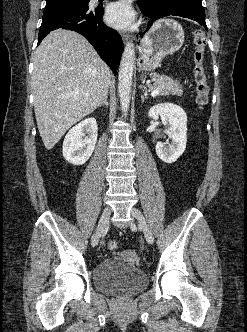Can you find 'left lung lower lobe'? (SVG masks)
Returning a JSON list of instances; mask_svg holds the SVG:
<instances>
[{"instance_id":"obj_1","label":"left lung lower lobe","mask_w":247,"mask_h":332,"mask_svg":"<svg viewBox=\"0 0 247 332\" xmlns=\"http://www.w3.org/2000/svg\"><path fill=\"white\" fill-rule=\"evenodd\" d=\"M141 11L150 19L148 22V28L156 19H160L167 16H179L198 22L204 26L207 30L205 22V11L201 5H193L186 3H174L158 8H144L140 7Z\"/></svg>"}]
</instances>
